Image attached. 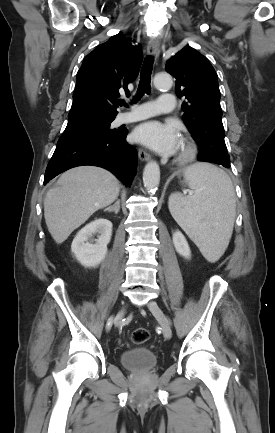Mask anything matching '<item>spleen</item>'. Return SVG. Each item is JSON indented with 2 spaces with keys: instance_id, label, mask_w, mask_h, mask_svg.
<instances>
[{
  "instance_id": "spleen-1",
  "label": "spleen",
  "mask_w": 275,
  "mask_h": 433,
  "mask_svg": "<svg viewBox=\"0 0 275 433\" xmlns=\"http://www.w3.org/2000/svg\"><path fill=\"white\" fill-rule=\"evenodd\" d=\"M194 194H172L169 210L202 255L217 261L225 252L234 227L236 202L230 177L218 167L196 163L183 171Z\"/></svg>"
}]
</instances>
